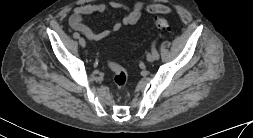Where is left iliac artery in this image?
<instances>
[{"mask_svg": "<svg viewBox=\"0 0 253 138\" xmlns=\"http://www.w3.org/2000/svg\"><path fill=\"white\" fill-rule=\"evenodd\" d=\"M152 50L155 53V58L158 59L159 58V54H158V52L156 50V41H153V43H152Z\"/></svg>", "mask_w": 253, "mask_h": 138, "instance_id": "44dca946", "label": "left iliac artery"}]
</instances>
